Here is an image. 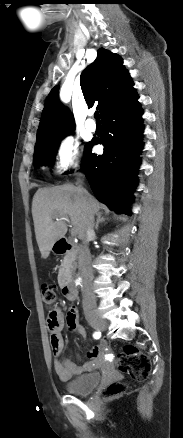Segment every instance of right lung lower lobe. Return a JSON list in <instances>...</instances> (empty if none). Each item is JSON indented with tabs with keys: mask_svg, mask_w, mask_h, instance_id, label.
I'll return each instance as SVG.
<instances>
[{
	"mask_svg": "<svg viewBox=\"0 0 183 438\" xmlns=\"http://www.w3.org/2000/svg\"><path fill=\"white\" fill-rule=\"evenodd\" d=\"M137 93L102 117L101 140L85 145L82 169L99 201L117 213L130 215L132 191L142 143V114ZM104 145V153H92L95 144Z\"/></svg>",
	"mask_w": 183,
	"mask_h": 438,
	"instance_id": "right-lung-lower-lobe-1",
	"label": "right lung lower lobe"
}]
</instances>
